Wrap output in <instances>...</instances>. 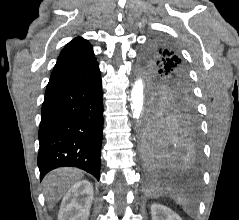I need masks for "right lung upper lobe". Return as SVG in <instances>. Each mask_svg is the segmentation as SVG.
Returning a JSON list of instances; mask_svg holds the SVG:
<instances>
[{
	"instance_id": "obj_1",
	"label": "right lung upper lobe",
	"mask_w": 239,
	"mask_h": 220,
	"mask_svg": "<svg viewBox=\"0 0 239 220\" xmlns=\"http://www.w3.org/2000/svg\"><path fill=\"white\" fill-rule=\"evenodd\" d=\"M96 60L91 44L77 37L69 42L59 55L51 77L61 76Z\"/></svg>"
}]
</instances>
